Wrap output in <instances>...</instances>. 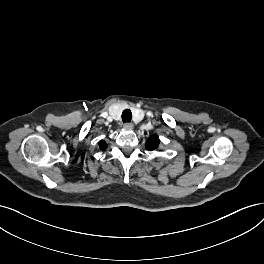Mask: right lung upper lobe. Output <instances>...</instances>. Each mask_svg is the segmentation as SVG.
<instances>
[{"label": "right lung upper lobe", "instance_id": "cb5924a9", "mask_svg": "<svg viewBox=\"0 0 264 264\" xmlns=\"http://www.w3.org/2000/svg\"><path fill=\"white\" fill-rule=\"evenodd\" d=\"M99 148L101 150H105L107 148V144L104 141L99 142Z\"/></svg>", "mask_w": 264, "mask_h": 264}]
</instances>
